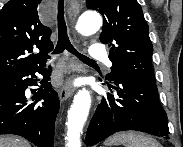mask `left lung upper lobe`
Instances as JSON below:
<instances>
[{
  "label": "left lung upper lobe",
  "mask_w": 183,
  "mask_h": 147,
  "mask_svg": "<svg viewBox=\"0 0 183 147\" xmlns=\"http://www.w3.org/2000/svg\"><path fill=\"white\" fill-rule=\"evenodd\" d=\"M103 16L100 41L111 47V73L106 80L129 74L155 82L149 27L137 0H86Z\"/></svg>",
  "instance_id": "1"
}]
</instances>
